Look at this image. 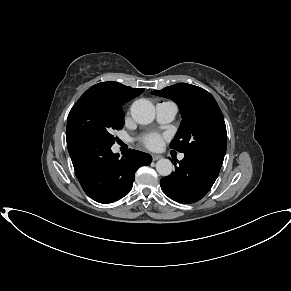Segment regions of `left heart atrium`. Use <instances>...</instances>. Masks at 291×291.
<instances>
[{"mask_svg": "<svg viewBox=\"0 0 291 291\" xmlns=\"http://www.w3.org/2000/svg\"><path fill=\"white\" fill-rule=\"evenodd\" d=\"M142 143L149 149H159L163 143V137L158 133H148L141 138Z\"/></svg>", "mask_w": 291, "mask_h": 291, "instance_id": "1", "label": "left heart atrium"}]
</instances>
